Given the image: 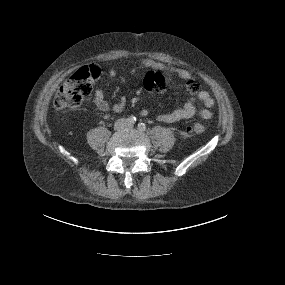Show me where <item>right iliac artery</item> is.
<instances>
[{
    "mask_svg": "<svg viewBox=\"0 0 285 285\" xmlns=\"http://www.w3.org/2000/svg\"><path fill=\"white\" fill-rule=\"evenodd\" d=\"M128 123L129 124H135L136 122V118L134 116H130L128 119H127Z\"/></svg>",
    "mask_w": 285,
    "mask_h": 285,
    "instance_id": "right-iliac-artery-1",
    "label": "right iliac artery"
}]
</instances>
